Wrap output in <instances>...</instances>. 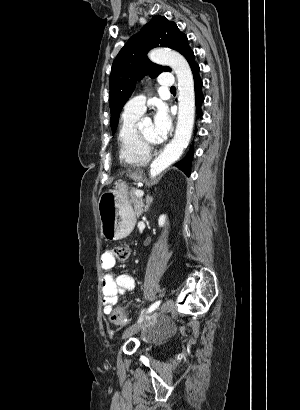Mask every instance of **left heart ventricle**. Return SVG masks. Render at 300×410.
Segmentation results:
<instances>
[{"mask_svg": "<svg viewBox=\"0 0 300 410\" xmlns=\"http://www.w3.org/2000/svg\"><path fill=\"white\" fill-rule=\"evenodd\" d=\"M143 134L151 141L156 142L154 138L153 123L148 121L141 126Z\"/></svg>", "mask_w": 300, "mask_h": 410, "instance_id": "obj_1", "label": "left heart ventricle"}]
</instances>
